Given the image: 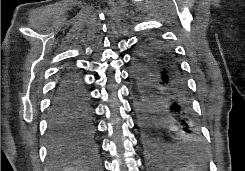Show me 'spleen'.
<instances>
[{"label":"spleen","instance_id":"obj_1","mask_svg":"<svg viewBox=\"0 0 245 171\" xmlns=\"http://www.w3.org/2000/svg\"><path fill=\"white\" fill-rule=\"evenodd\" d=\"M177 171H203V170L195 164L186 163L183 166H181Z\"/></svg>","mask_w":245,"mask_h":171}]
</instances>
